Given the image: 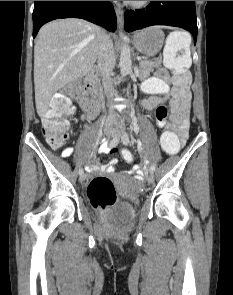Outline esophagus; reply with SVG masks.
<instances>
[{
  "label": "esophagus",
  "mask_w": 233,
  "mask_h": 295,
  "mask_svg": "<svg viewBox=\"0 0 233 295\" xmlns=\"http://www.w3.org/2000/svg\"><path fill=\"white\" fill-rule=\"evenodd\" d=\"M115 13L117 16V22L120 27L123 25V11L119 7H115Z\"/></svg>",
  "instance_id": "1"
}]
</instances>
